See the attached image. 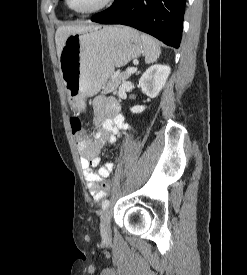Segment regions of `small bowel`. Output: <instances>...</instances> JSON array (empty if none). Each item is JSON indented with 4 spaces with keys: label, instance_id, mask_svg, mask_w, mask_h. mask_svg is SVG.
Here are the masks:
<instances>
[{
    "label": "small bowel",
    "instance_id": "small-bowel-1",
    "mask_svg": "<svg viewBox=\"0 0 247 275\" xmlns=\"http://www.w3.org/2000/svg\"><path fill=\"white\" fill-rule=\"evenodd\" d=\"M94 122L100 129L95 133L94 140H84L77 144L80 153V164L90 194L96 201H100L106 193L100 188L99 183L107 178L114 170V163L100 164V151L106 144H115L122 131H130L131 127L125 122L120 113V104L110 97H99L93 101Z\"/></svg>",
    "mask_w": 247,
    "mask_h": 275
}]
</instances>
